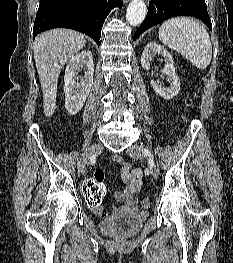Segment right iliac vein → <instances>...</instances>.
Listing matches in <instances>:
<instances>
[{
    "instance_id": "right-iliac-vein-1",
    "label": "right iliac vein",
    "mask_w": 233,
    "mask_h": 263,
    "mask_svg": "<svg viewBox=\"0 0 233 263\" xmlns=\"http://www.w3.org/2000/svg\"><path fill=\"white\" fill-rule=\"evenodd\" d=\"M103 149L102 144L98 143L91 147H89L81 156L79 162H78V171L81 174H84L85 172V166L89 159L97 154H99Z\"/></svg>"
}]
</instances>
